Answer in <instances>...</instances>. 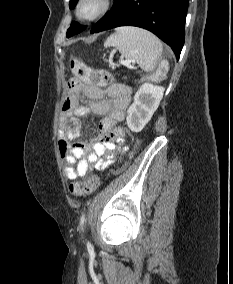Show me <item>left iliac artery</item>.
Instances as JSON below:
<instances>
[{"instance_id":"1","label":"left iliac artery","mask_w":233,"mask_h":284,"mask_svg":"<svg viewBox=\"0 0 233 284\" xmlns=\"http://www.w3.org/2000/svg\"><path fill=\"white\" fill-rule=\"evenodd\" d=\"M85 222V214H82L81 218H80V225H81V229L83 230V225Z\"/></svg>"}]
</instances>
